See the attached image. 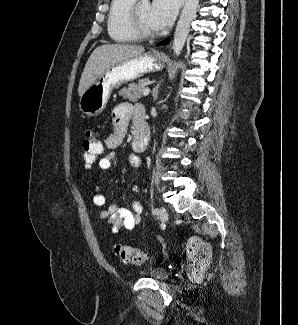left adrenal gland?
I'll list each match as a JSON object with an SVG mask.
<instances>
[{"label": "left adrenal gland", "mask_w": 298, "mask_h": 325, "mask_svg": "<svg viewBox=\"0 0 298 325\" xmlns=\"http://www.w3.org/2000/svg\"><path fill=\"white\" fill-rule=\"evenodd\" d=\"M159 86H160V82L159 84H156V86H154L152 90L153 100H156V98H158Z\"/></svg>", "instance_id": "left-adrenal-gland-1"}]
</instances>
